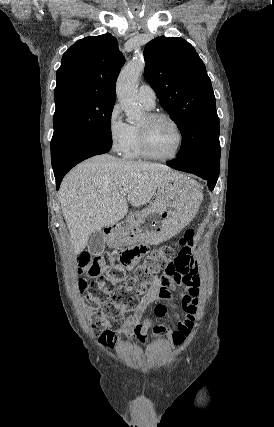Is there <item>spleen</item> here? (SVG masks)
Returning a JSON list of instances; mask_svg holds the SVG:
<instances>
[{"label":"spleen","instance_id":"spleen-1","mask_svg":"<svg viewBox=\"0 0 274 427\" xmlns=\"http://www.w3.org/2000/svg\"><path fill=\"white\" fill-rule=\"evenodd\" d=\"M194 184L196 186V188H194V190H197V186H198L197 182H194ZM198 188H199V192H198L197 196H198V208H199V204L202 200V192L200 190V186H198Z\"/></svg>","mask_w":274,"mask_h":427}]
</instances>
